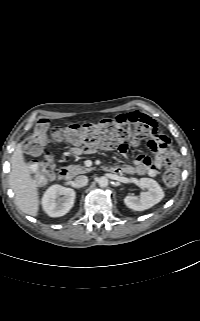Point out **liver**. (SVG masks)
<instances>
[{"mask_svg":"<svg viewBox=\"0 0 200 321\" xmlns=\"http://www.w3.org/2000/svg\"><path fill=\"white\" fill-rule=\"evenodd\" d=\"M9 184L15 194L17 207L25 214L37 216L39 211L38 189L24 160L21 143L16 146L11 156Z\"/></svg>","mask_w":200,"mask_h":321,"instance_id":"1","label":"liver"}]
</instances>
